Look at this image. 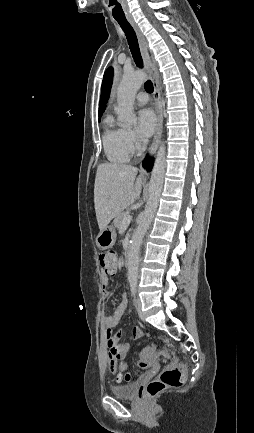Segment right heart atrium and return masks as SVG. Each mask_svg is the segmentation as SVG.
<instances>
[{"label":"right heart atrium","instance_id":"right-heart-atrium-1","mask_svg":"<svg viewBox=\"0 0 254 433\" xmlns=\"http://www.w3.org/2000/svg\"><path fill=\"white\" fill-rule=\"evenodd\" d=\"M125 138L131 152H138L141 149L142 141L134 130H125Z\"/></svg>","mask_w":254,"mask_h":433}]
</instances>
